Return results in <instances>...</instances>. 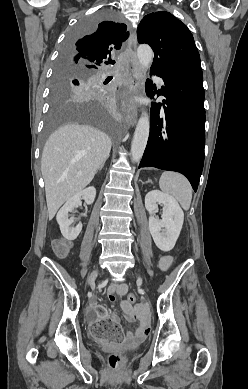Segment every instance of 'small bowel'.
<instances>
[{
  "mask_svg": "<svg viewBox=\"0 0 248 389\" xmlns=\"http://www.w3.org/2000/svg\"><path fill=\"white\" fill-rule=\"evenodd\" d=\"M173 262L171 256H164L160 261V267L162 270H167ZM127 294V286L125 284H113L107 291V296L111 301H114L116 296L123 297ZM121 307L126 314V318L129 322L138 321L139 325L135 333L132 331H126L122 344L129 348H137L149 335L150 327L146 316V311L143 306L132 307L127 300L121 301ZM88 318L91 320L96 319L95 310L91 309L87 313ZM113 322L118 321V317L113 314H107Z\"/></svg>",
  "mask_w": 248,
  "mask_h": 389,
  "instance_id": "1",
  "label": "small bowel"
}]
</instances>
